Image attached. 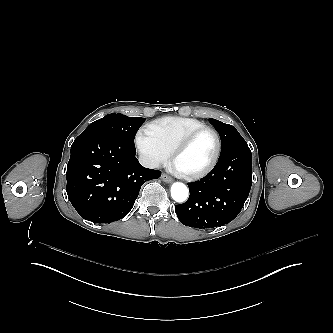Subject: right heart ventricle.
<instances>
[{"label": "right heart ventricle", "instance_id": "1", "mask_svg": "<svg viewBox=\"0 0 333 333\" xmlns=\"http://www.w3.org/2000/svg\"><path fill=\"white\" fill-rule=\"evenodd\" d=\"M206 126L205 123L187 117H165L145 124L138 135L148 144L169 154L174 145L188 132Z\"/></svg>", "mask_w": 333, "mask_h": 333}]
</instances>
